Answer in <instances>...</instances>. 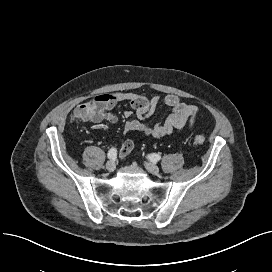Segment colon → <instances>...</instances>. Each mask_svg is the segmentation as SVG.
I'll return each instance as SVG.
<instances>
[{"mask_svg": "<svg viewBox=\"0 0 272 272\" xmlns=\"http://www.w3.org/2000/svg\"><path fill=\"white\" fill-rule=\"evenodd\" d=\"M194 144L201 145L205 142V138L202 135H196L193 140Z\"/></svg>", "mask_w": 272, "mask_h": 272, "instance_id": "1", "label": "colon"}]
</instances>
